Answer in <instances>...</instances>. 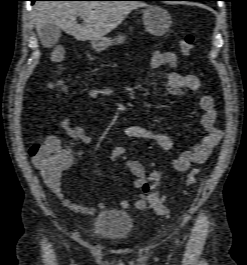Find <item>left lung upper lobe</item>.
I'll list each match as a JSON object with an SVG mask.
<instances>
[{
	"label": "left lung upper lobe",
	"mask_w": 247,
	"mask_h": 265,
	"mask_svg": "<svg viewBox=\"0 0 247 265\" xmlns=\"http://www.w3.org/2000/svg\"><path fill=\"white\" fill-rule=\"evenodd\" d=\"M202 1H217V0H202Z\"/></svg>",
	"instance_id": "left-lung-upper-lobe-1"
}]
</instances>
